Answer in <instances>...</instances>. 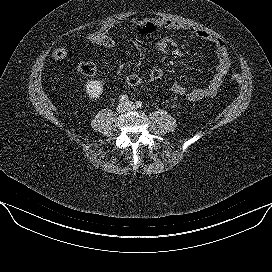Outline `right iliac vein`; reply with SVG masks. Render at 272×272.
Wrapping results in <instances>:
<instances>
[{
	"label": "right iliac vein",
	"mask_w": 272,
	"mask_h": 272,
	"mask_svg": "<svg viewBox=\"0 0 272 272\" xmlns=\"http://www.w3.org/2000/svg\"><path fill=\"white\" fill-rule=\"evenodd\" d=\"M118 113H123L126 110V104L125 103H119L116 108Z\"/></svg>",
	"instance_id": "right-iliac-vein-1"
}]
</instances>
